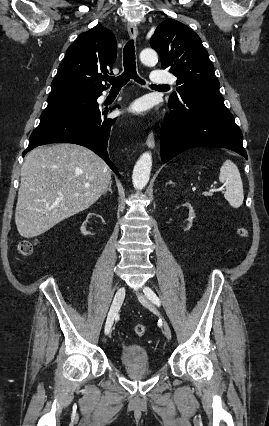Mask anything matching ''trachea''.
<instances>
[{"label": "trachea", "instance_id": "1", "mask_svg": "<svg viewBox=\"0 0 269 426\" xmlns=\"http://www.w3.org/2000/svg\"><path fill=\"white\" fill-rule=\"evenodd\" d=\"M123 65L124 72L118 77H106L105 79L112 85V88H122L130 79H134L140 84L145 82L137 75L135 61V46L134 41L130 40L126 43L123 49ZM151 88L165 87L162 85H151Z\"/></svg>", "mask_w": 269, "mask_h": 426}]
</instances>
